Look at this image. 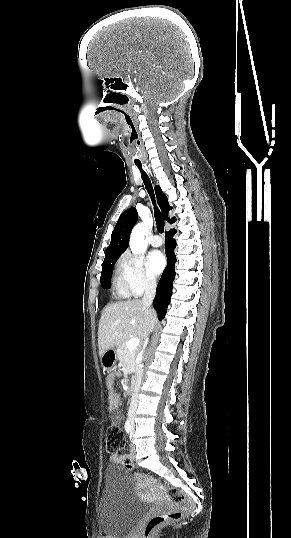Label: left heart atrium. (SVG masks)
Here are the masks:
<instances>
[{
	"mask_svg": "<svg viewBox=\"0 0 291 538\" xmlns=\"http://www.w3.org/2000/svg\"><path fill=\"white\" fill-rule=\"evenodd\" d=\"M165 266L164 256L158 252H152L148 257L147 269L152 277L158 276Z\"/></svg>",
	"mask_w": 291,
	"mask_h": 538,
	"instance_id": "1",
	"label": "left heart atrium"
}]
</instances>
